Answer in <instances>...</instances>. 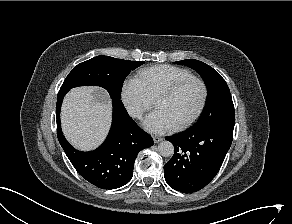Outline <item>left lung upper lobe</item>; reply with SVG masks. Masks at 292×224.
<instances>
[{
  "mask_svg": "<svg viewBox=\"0 0 292 224\" xmlns=\"http://www.w3.org/2000/svg\"><path fill=\"white\" fill-rule=\"evenodd\" d=\"M177 63L187 65L196 70L207 86L206 106L199 120L192 128L198 129L212 121L235 116L234 105L227 83L212 67L195 59H186Z\"/></svg>",
  "mask_w": 292,
  "mask_h": 224,
  "instance_id": "1",
  "label": "left lung upper lobe"
}]
</instances>
